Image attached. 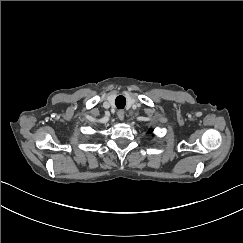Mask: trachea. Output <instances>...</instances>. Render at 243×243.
<instances>
[{
	"label": "trachea",
	"instance_id": "obj_1",
	"mask_svg": "<svg viewBox=\"0 0 243 243\" xmlns=\"http://www.w3.org/2000/svg\"><path fill=\"white\" fill-rule=\"evenodd\" d=\"M115 104L118 109H123L126 105V98L122 95L117 96L115 99Z\"/></svg>",
	"mask_w": 243,
	"mask_h": 243
}]
</instances>
